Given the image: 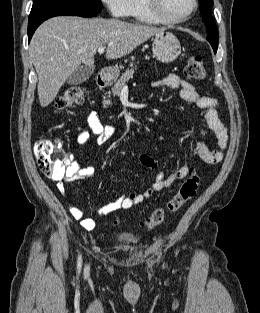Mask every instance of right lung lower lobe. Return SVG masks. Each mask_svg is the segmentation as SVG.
<instances>
[{"instance_id":"obj_1","label":"right lung lower lobe","mask_w":260,"mask_h":313,"mask_svg":"<svg viewBox=\"0 0 260 313\" xmlns=\"http://www.w3.org/2000/svg\"><path fill=\"white\" fill-rule=\"evenodd\" d=\"M80 16V17H94L96 13L78 11V10H61V9H42L31 11L28 22V40L32 38V35L36 28L45 20L55 16Z\"/></svg>"}]
</instances>
